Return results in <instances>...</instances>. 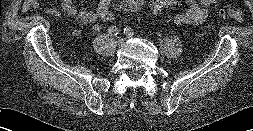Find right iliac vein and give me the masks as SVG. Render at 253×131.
Returning a JSON list of instances; mask_svg holds the SVG:
<instances>
[{"label":"right iliac vein","instance_id":"63e3f726","mask_svg":"<svg viewBox=\"0 0 253 131\" xmlns=\"http://www.w3.org/2000/svg\"><path fill=\"white\" fill-rule=\"evenodd\" d=\"M124 43V39L123 38H119L117 41V44L120 46Z\"/></svg>","mask_w":253,"mask_h":131}]
</instances>
